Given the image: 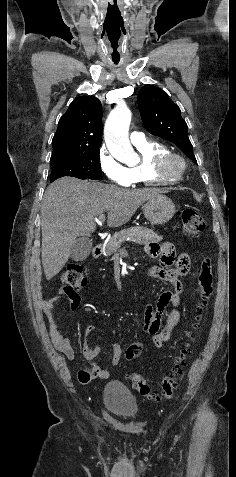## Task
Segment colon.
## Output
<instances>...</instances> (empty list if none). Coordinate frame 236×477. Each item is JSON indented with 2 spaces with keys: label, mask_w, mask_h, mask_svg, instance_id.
<instances>
[{
  "label": "colon",
  "mask_w": 236,
  "mask_h": 477,
  "mask_svg": "<svg viewBox=\"0 0 236 477\" xmlns=\"http://www.w3.org/2000/svg\"><path fill=\"white\" fill-rule=\"evenodd\" d=\"M181 218L183 232L188 237H195L205 229L206 223L204 217L194 209H184L181 213ZM182 260L187 262L188 257L184 255ZM62 283L64 286V292L69 295L75 294L77 291L85 288L87 285V278L84 275L82 266L79 264H68L62 274ZM212 292V266L209 261L204 260L198 273V320L201 318L203 311L207 307ZM142 351V344L140 342H135L127 347L124 356L127 360H133L139 357ZM189 354L190 343L182 347L176 354L174 364L170 372L161 380L160 392L153 391L150 384L147 383V381L139 374H131L130 376V381L133 388H135L143 396L154 401H161L163 399L171 398L178 387V381L183 374L185 362Z\"/></svg>",
  "instance_id": "colon-1"
}]
</instances>
